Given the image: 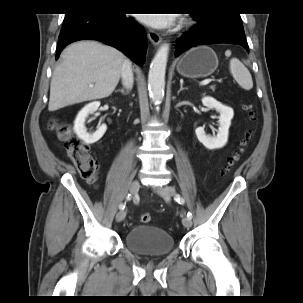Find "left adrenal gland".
<instances>
[{"mask_svg":"<svg viewBox=\"0 0 303 303\" xmlns=\"http://www.w3.org/2000/svg\"><path fill=\"white\" fill-rule=\"evenodd\" d=\"M185 88H183V84L181 83L180 84V89H179V91H178V93H180L182 90H184Z\"/></svg>","mask_w":303,"mask_h":303,"instance_id":"1","label":"left adrenal gland"}]
</instances>
